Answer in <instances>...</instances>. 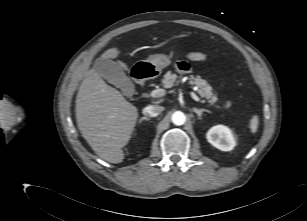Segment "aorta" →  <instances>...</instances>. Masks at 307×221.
Returning <instances> with one entry per match:
<instances>
[{"instance_id":"1","label":"aorta","mask_w":307,"mask_h":221,"mask_svg":"<svg viewBox=\"0 0 307 221\" xmlns=\"http://www.w3.org/2000/svg\"><path fill=\"white\" fill-rule=\"evenodd\" d=\"M171 120H172L173 124L180 126V125H183L186 122V116L183 112L176 111L172 114Z\"/></svg>"}]
</instances>
